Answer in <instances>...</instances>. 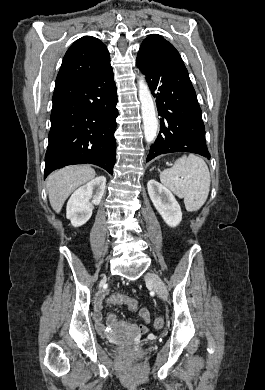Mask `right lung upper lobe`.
<instances>
[{
    "mask_svg": "<svg viewBox=\"0 0 265 390\" xmlns=\"http://www.w3.org/2000/svg\"><path fill=\"white\" fill-rule=\"evenodd\" d=\"M110 64L106 46L97 38L84 36L67 50L56 78L55 88L82 80Z\"/></svg>",
    "mask_w": 265,
    "mask_h": 390,
    "instance_id": "right-lung-upper-lobe-1",
    "label": "right lung upper lobe"
}]
</instances>
